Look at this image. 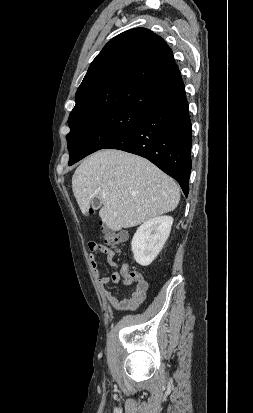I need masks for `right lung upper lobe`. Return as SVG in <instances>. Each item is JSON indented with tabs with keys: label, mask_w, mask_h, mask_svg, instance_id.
Listing matches in <instances>:
<instances>
[{
	"label": "right lung upper lobe",
	"mask_w": 253,
	"mask_h": 413,
	"mask_svg": "<svg viewBox=\"0 0 253 413\" xmlns=\"http://www.w3.org/2000/svg\"><path fill=\"white\" fill-rule=\"evenodd\" d=\"M184 93L167 43L148 29L134 28L114 37L95 57L68 123L117 109L147 113Z\"/></svg>",
	"instance_id": "obj_1"
}]
</instances>
